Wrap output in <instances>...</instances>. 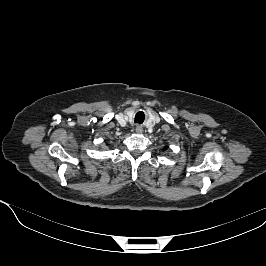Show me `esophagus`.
<instances>
[{
  "instance_id": "34e87169",
  "label": "esophagus",
  "mask_w": 266,
  "mask_h": 266,
  "mask_svg": "<svg viewBox=\"0 0 266 266\" xmlns=\"http://www.w3.org/2000/svg\"><path fill=\"white\" fill-rule=\"evenodd\" d=\"M135 131H136V133H142L143 132L142 126L137 125L136 128H135Z\"/></svg>"
}]
</instances>
